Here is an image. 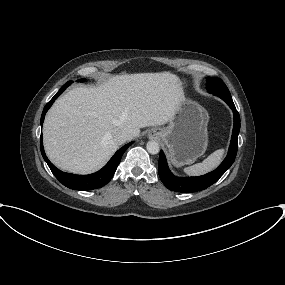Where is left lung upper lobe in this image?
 I'll list each match as a JSON object with an SVG mask.
<instances>
[{
  "instance_id": "obj_1",
  "label": "left lung upper lobe",
  "mask_w": 285,
  "mask_h": 285,
  "mask_svg": "<svg viewBox=\"0 0 285 285\" xmlns=\"http://www.w3.org/2000/svg\"><path fill=\"white\" fill-rule=\"evenodd\" d=\"M208 90L219 96L221 99H223L224 101L227 100H232V97L230 95V92L227 88V86L225 85V83L219 79V78H208Z\"/></svg>"
}]
</instances>
